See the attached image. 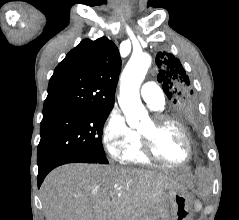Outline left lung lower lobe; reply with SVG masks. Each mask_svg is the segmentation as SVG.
<instances>
[{
	"mask_svg": "<svg viewBox=\"0 0 239 220\" xmlns=\"http://www.w3.org/2000/svg\"><path fill=\"white\" fill-rule=\"evenodd\" d=\"M185 123H187L190 127H195V125H198V122H196L197 124L191 122V121H184Z\"/></svg>",
	"mask_w": 239,
	"mask_h": 220,
	"instance_id": "0a47b994",
	"label": "left lung lower lobe"
}]
</instances>
